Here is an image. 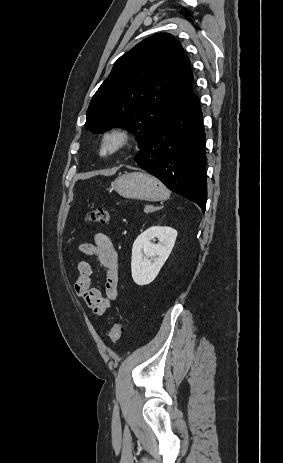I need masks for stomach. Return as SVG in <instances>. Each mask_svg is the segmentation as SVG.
<instances>
[{"mask_svg":"<svg viewBox=\"0 0 283 463\" xmlns=\"http://www.w3.org/2000/svg\"><path fill=\"white\" fill-rule=\"evenodd\" d=\"M114 190L122 197L146 201L164 199L166 187L155 177L142 173H125L112 183Z\"/></svg>","mask_w":283,"mask_h":463,"instance_id":"obj_1","label":"stomach"}]
</instances>
